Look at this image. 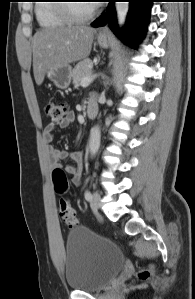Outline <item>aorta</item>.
<instances>
[{
  "label": "aorta",
  "instance_id": "obj_1",
  "mask_svg": "<svg viewBox=\"0 0 195 299\" xmlns=\"http://www.w3.org/2000/svg\"><path fill=\"white\" fill-rule=\"evenodd\" d=\"M129 11L128 2H117L116 3V12H117V21L119 26H123L126 21V17ZM100 138L101 131L98 125L94 126L91 130L89 150L92 156H95L100 147Z\"/></svg>",
  "mask_w": 195,
  "mask_h": 299
}]
</instances>
